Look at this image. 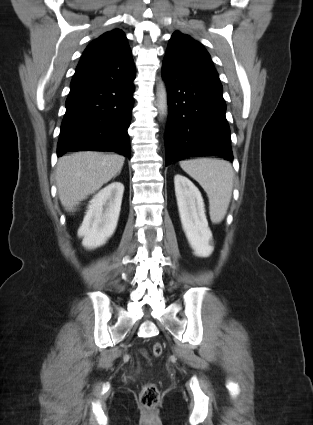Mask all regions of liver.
Masks as SVG:
<instances>
[{
    "label": "liver",
    "instance_id": "obj_1",
    "mask_svg": "<svg viewBox=\"0 0 313 425\" xmlns=\"http://www.w3.org/2000/svg\"><path fill=\"white\" fill-rule=\"evenodd\" d=\"M125 158L118 154L77 152L58 160L56 182L60 202L72 212L89 195L115 177Z\"/></svg>",
    "mask_w": 313,
    "mask_h": 425
}]
</instances>
